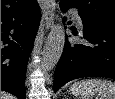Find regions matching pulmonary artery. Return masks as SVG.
Wrapping results in <instances>:
<instances>
[{"label": "pulmonary artery", "mask_w": 115, "mask_h": 99, "mask_svg": "<svg viewBox=\"0 0 115 99\" xmlns=\"http://www.w3.org/2000/svg\"><path fill=\"white\" fill-rule=\"evenodd\" d=\"M73 19L76 21L77 24L81 25V20L77 14L73 13Z\"/></svg>", "instance_id": "1"}]
</instances>
